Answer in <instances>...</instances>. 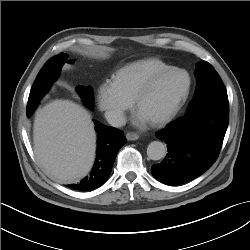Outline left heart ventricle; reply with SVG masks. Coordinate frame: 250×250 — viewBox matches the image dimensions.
<instances>
[{
  "label": "left heart ventricle",
  "mask_w": 250,
  "mask_h": 250,
  "mask_svg": "<svg viewBox=\"0 0 250 250\" xmlns=\"http://www.w3.org/2000/svg\"><path fill=\"white\" fill-rule=\"evenodd\" d=\"M186 85L187 77L184 73L174 72L163 77L141 102L138 112L149 122L162 116L180 98Z\"/></svg>",
  "instance_id": "1"
}]
</instances>
